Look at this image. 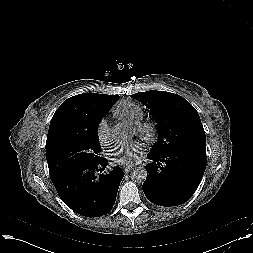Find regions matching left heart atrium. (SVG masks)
Here are the masks:
<instances>
[{
  "label": "left heart atrium",
  "mask_w": 253,
  "mask_h": 253,
  "mask_svg": "<svg viewBox=\"0 0 253 253\" xmlns=\"http://www.w3.org/2000/svg\"><path fill=\"white\" fill-rule=\"evenodd\" d=\"M144 146L141 142L132 141L116 144L110 151V159L119 165H131L142 154Z\"/></svg>",
  "instance_id": "left-heart-atrium-1"
}]
</instances>
